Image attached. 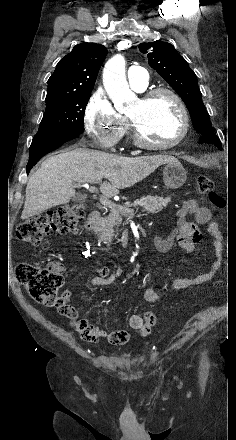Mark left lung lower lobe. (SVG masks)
<instances>
[{
    "label": "left lung lower lobe",
    "mask_w": 236,
    "mask_h": 440,
    "mask_svg": "<svg viewBox=\"0 0 236 440\" xmlns=\"http://www.w3.org/2000/svg\"><path fill=\"white\" fill-rule=\"evenodd\" d=\"M199 143H210L215 145L219 150H222L221 142L214 132L202 135Z\"/></svg>",
    "instance_id": "obj_1"
}]
</instances>
